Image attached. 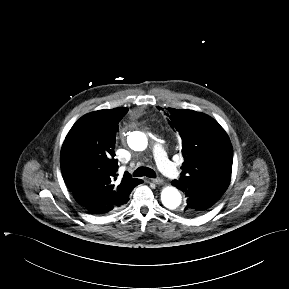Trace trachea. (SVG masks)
I'll use <instances>...</instances> for the list:
<instances>
[{
    "mask_svg": "<svg viewBox=\"0 0 289 289\" xmlns=\"http://www.w3.org/2000/svg\"><path fill=\"white\" fill-rule=\"evenodd\" d=\"M134 176L136 177H142V176H146L149 178H155V172L148 167H139L134 171Z\"/></svg>",
    "mask_w": 289,
    "mask_h": 289,
    "instance_id": "trachea-1",
    "label": "trachea"
}]
</instances>
